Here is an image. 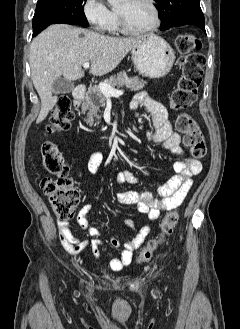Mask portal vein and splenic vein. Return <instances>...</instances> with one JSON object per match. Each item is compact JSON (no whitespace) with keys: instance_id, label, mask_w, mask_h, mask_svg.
Here are the masks:
<instances>
[{"instance_id":"1","label":"portal vein and splenic vein","mask_w":240,"mask_h":329,"mask_svg":"<svg viewBox=\"0 0 240 329\" xmlns=\"http://www.w3.org/2000/svg\"><path fill=\"white\" fill-rule=\"evenodd\" d=\"M89 66H90L89 62L83 63V67L85 69L89 68ZM99 88H100L101 92L106 96H117V95L123 94L122 90H117L106 82L99 83Z\"/></svg>"}]
</instances>
